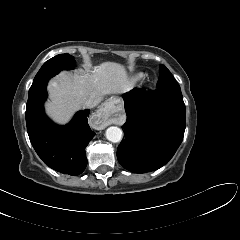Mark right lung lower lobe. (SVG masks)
Segmentation results:
<instances>
[{"mask_svg": "<svg viewBox=\"0 0 240 240\" xmlns=\"http://www.w3.org/2000/svg\"><path fill=\"white\" fill-rule=\"evenodd\" d=\"M48 80L29 91L26 106L29 139L47 166L58 172L76 176L81 174L87 165L85 148L95 135L87 123L90 110L77 112L66 126L54 124L45 115L43 107L47 98Z\"/></svg>", "mask_w": 240, "mask_h": 240, "instance_id": "1", "label": "right lung lower lobe"}]
</instances>
